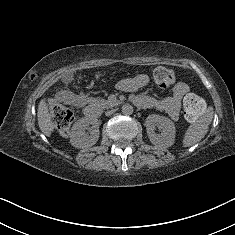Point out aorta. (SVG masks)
Returning a JSON list of instances; mask_svg holds the SVG:
<instances>
[{"instance_id":"aorta-1","label":"aorta","mask_w":235,"mask_h":235,"mask_svg":"<svg viewBox=\"0 0 235 235\" xmlns=\"http://www.w3.org/2000/svg\"><path fill=\"white\" fill-rule=\"evenodd\" d=\"M121 111H122V113L124 115H131L133 113V106L130 105V104H124L122 106V110Z\"/></svg>"}]
</instances>
